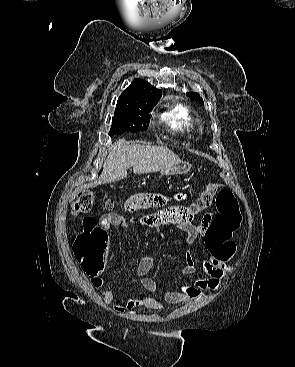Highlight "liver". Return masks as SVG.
<instances>
[{"label": "liver", "mask_w": 295, "mask_h": 367, "mask_svg": "<svg viewBox=\"0 0 295 367\" xmlns=\"http://www.w3.org/2000/svg\"><path fill=\"white\" fill-rule=\"evenodd\" d=\"M180 162V158L165 146L130 145L124 139H119L105 159L103 171L95 184L119 181L127 176L130 167H133L135 174H143L162 171Z\"/></svg>", "instance_id": "1"}]
</instances>
